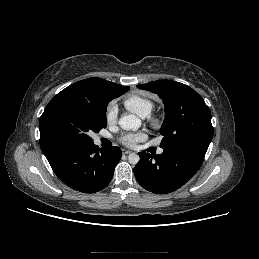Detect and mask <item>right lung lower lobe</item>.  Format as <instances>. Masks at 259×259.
Returning <instances> with one entry per match:
<instances>
[{
	"label": "right lung lower lobe",
	"mask_w": 259,
	"mask_h": 259,
	"mask_svg": "<svg viewBox=\"0 0 259 259\" xmlns=\"http://www.w3.org/2000/svg\"><path fill=\"white\" fill-rule=\"evenodd\" d=\"M45 156L55 174L70 188L95 193L110 183L122 151L117 146L99 149L92 143L61 146Z\"/></svg>",
	"instance_id": "obj_1"
}]
</instances>
